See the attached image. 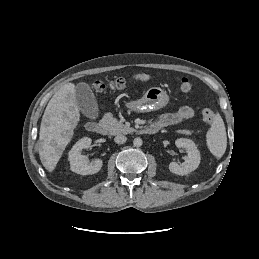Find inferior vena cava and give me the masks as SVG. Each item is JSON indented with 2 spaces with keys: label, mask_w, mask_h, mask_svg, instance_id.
Wrapping results in <instances>:
<instances>
[{
  "label": "inferior vena cava",
  "mask_w": 259,
  "mask_h": 259,
  "mask_svg": "<svg viewBox=\"0 0 259 259\" xmlns=\"http://www.w3.org/2000/svg\"><path fill=\"white\" fill-rule=\"evenodd\" d=\"M127 140V138L124 136V135H117L115 138H114V141L117 143V144H123L125 143Z\"/></svg>",
  "instance_id": "602c4592"
}]
</instances>
